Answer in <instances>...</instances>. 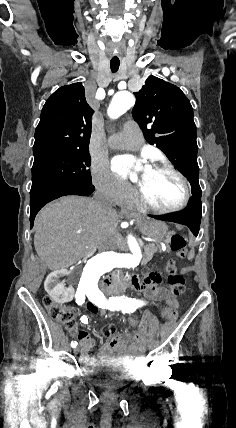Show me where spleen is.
<instances>
[{"label":"spleen","instance_id":"obj_1","mask_svg":"<svg viewBox=\"0 0 236 428\" xmlns=\"http://www.w3.org/2000/svg\"><path fill=\"white\" fill-rule=\"evenodd\" d=\"M188 258H189V260H192V258H194V252H193V250H192V252H190Z\"/></svg>","mask_w":236,"mask_h":428}]
</instances>
